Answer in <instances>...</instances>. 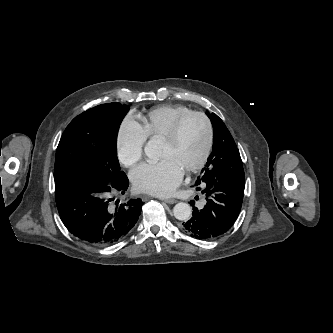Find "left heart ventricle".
Returning <instances> with one entry per match:
<instances>
[{"mask_svg": "<svg viewBox=\"0 0 333 333\" xmlns=\"http://www.w3.org/2000/svg\"><path fill=\"white\" fill-rule=\"evenodd\" d=\"M207 131L199 118L187 120L174 143L163 141L161 158H172L183 170L196 163L205 148Z\"/></svg>", "mask_w": 333, "mask_h": 333, "instance_id": "left-heart-ventricle-1", "label": "left heart ventricle"}]
</instances>
